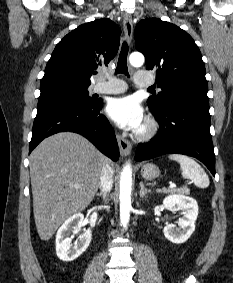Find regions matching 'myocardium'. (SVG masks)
<instances>
[{"mask_svg":"<svg viewBox=\"0 0 233 283\" xmlns=\"http://www.w3.org/2000/svg\"><path fill=\"white\" fill-rule=\"evenodd\" d=\"M159 132V124L157 120L151 116L147 117L137 131V138L141 141H148L153 139Z\"/></svg>","mask_w":233,"mask_h":283,"instance_id":"1","label":"myocardium"}]
</instances>
